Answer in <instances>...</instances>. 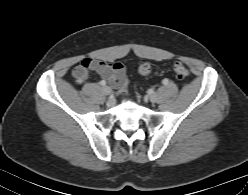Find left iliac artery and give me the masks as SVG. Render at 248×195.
<instances>
[{"label": "left iliac artery", "instance_id": "1", "mask_svg": "<svg viewBox=\"0 0 248 195\" xmlns=\"http://www.w3.org/2000/svg\"><path fill=\"white\" fill-rule=\"evenodd\" d=\"M163 84H164V85H167V84H168V79H164V80H163Z\"/></svg>", "mask_w": 248, "mask_h": 195}]
</instances>
